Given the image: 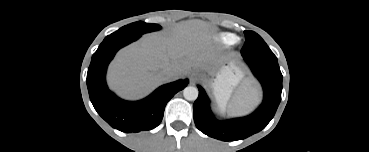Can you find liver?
<instances>
[{"label":"liver","instance_id":"6515ba94","mask_svg":"<svg viewBox=\"0 0 369 152\" xmlns=\"http://www.w3.org/2000/svg\"><path fill=\"white\" fill-rule=\"evenodd\" d=\"M211 27L199 20L177 25L171 32L145 35L139 42L121 50L112 62L109 86L122 97L140 98L158 85L186 75L191 67L204 66ZM177 69L169 77L164 70ZM256 90L246 87L243 94Z\"/></svg>","mask_w":369,"mask_h":152}]
</instances>
